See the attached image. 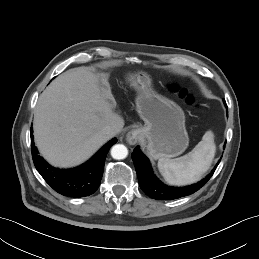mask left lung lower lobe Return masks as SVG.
Listing matches in <instances>:
<instances>
[{
  "label": "left lung lower lobe",
  "mask_w": 259,
  "mask_h": 259,
  "mask_svg": "<svg viewBox=\"0 0 259 259\" xmlns=\"http://www.w3.org/2000/svg\"><path fill=\"white\" fill-rule=\"evenodd\" d=\"M224 104L226 105L225 100ZM132 159L137 172L140 188L146 195L156 200H173L193 194L207 183L218 166L217 164L214 170L208 176L194 185L186 187H169L155 177L152 172L149 160L140 151L138 146L132 153Z\"/></svg>",
  "instance_id": "1"
}]
</instances>
